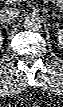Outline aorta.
<instances>
[{
    "label": "aorta",
    "mask_w": 63,
    "mask_h": 107,
    "mask_svg": "<svg viewBox=\"0 0 63 107\" xmlns=\"http://www.w3.org/2000/svg\"><path fill=\"white\" fill-rule=\"evenodd\" d=\"M24 28L28 31H38L41 28V21L35 15L27 16L24 19Z\"/></svg>",
    "instance_id": "aorta-1"
}]
</instances>
